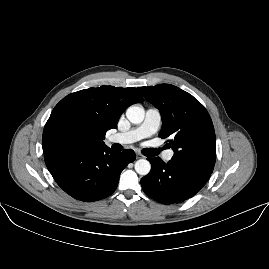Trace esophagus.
I'll list each match as a JSON object with an SVG mask.
<instances>
[{
    "mask_svg": "<svg viewBox=\"0 0 269 269\" xmlns=\"http://www.w3.org/2000/svg\"><path fill=\"white\" fill-rule=\"evenodd\" d=\"M136 158H137V159L143 158V155L140 154V153H136Z\"/></svg>",
    "mask_w": 269,
    "mask_h": 269,
    "instance_id": "obj_1",
    "label": "esophagus"
}]
</instances>
